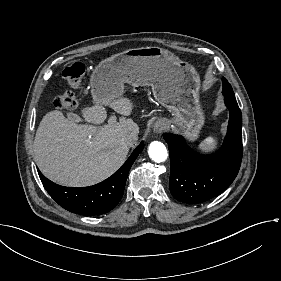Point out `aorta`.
<instances>
[{
	"label": "aorta",
	"instance_id": "obj_1",
	"mask_svg": "<svg viewBox=\"0 0 281 281\" xmlns=\"http://www.w3.org/2000/svg\"><path fill=\"white\" fill-rule=\"evenodd\" d=\"M149 157L156 163L164 162L167 159L168 152L165 145L159 141H153L148 149Z\"/></svg>",
	"mask_w": 281,
	"mask_h": 281
}]
</instances>
